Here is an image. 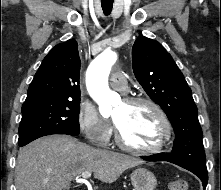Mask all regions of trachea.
<instances>
[{"label": "trachea", "mask_w": 221, "mask_h": 190, "mask_svg": "<svg viewBox=\"0 0 221 190\" xmlns=\"http://www.w3.org/2000/svg\"><path fill=\"white\" fill-rule=\"evenodd\" d=\"M101 6L105 15H109L112 11L113 1H101Z\"/></svg>", "instance_id": "1"}]
</instances>
